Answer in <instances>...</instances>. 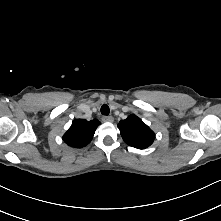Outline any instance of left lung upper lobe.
Segmentation results:
<instances>
[{
  "label": "left lung upper lobe",
  "mask_w": 221,
  "mask_h": 221,
  "mask_svg": "<svg viewBox=\"0 0 221 221\" xmlns=\"http://www.w3.org/2000/svg\"><path fill=\"white\" fill-rule=\"evenodd\" d=\"M118 128L125 143L138 149L147 148L155 139L154 132L134 114L121 120Z\"/></svg>",
  "instance_id": "obj_1"
}]
</instances>
